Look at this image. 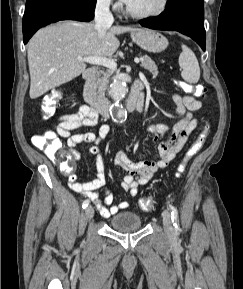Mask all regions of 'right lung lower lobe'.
<instances>
[{"instance_id": "right-lung-lower-lobe-1", "label": "right lung lower lobe", "mask_w": 243, "mask_h": 289, "mask_svg": "<svg viewBox=\"0 0 243 289\" xmlns=\"http://www.w3.org/2000/svg\"><path fill=\"white\" fill-rule=\"evenodd\" d=\"M96 0H27L23 16L26 44L41 27L60 20L89 22L94 18Z\"/></svg>"}]
</instances>
